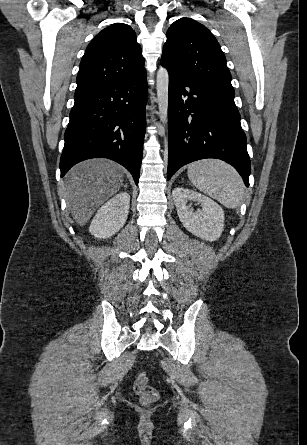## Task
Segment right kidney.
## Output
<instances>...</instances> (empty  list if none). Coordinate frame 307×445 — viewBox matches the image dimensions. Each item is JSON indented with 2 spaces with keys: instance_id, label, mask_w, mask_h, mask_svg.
<instances>
[{
  "instance_id": "obj_1",
  "label": "right kidney",
  "mask_w": 307,
  "mask_h": 445,
  "mask_svg": "<svg viewBox=\"0 0 307 445\" xmlns=\"http://www.w3.org/2000/svg\"><path fill=\"white\" fill-rule=\"evenodd\" d=\"M130 206V194L118 192L96 212L89 227L97 239H109L124 227Z\"/></svg>"
}]
</instances>
